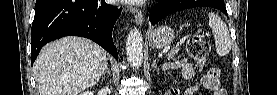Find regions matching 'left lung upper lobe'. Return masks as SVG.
<instances>
[{"label":"left lung upper lobe","instance_id":"left-lung-upper-lobe-1","mask_svg":"<svg viewBox=\"0 0 277 95\" xmlns=\"http://www.w3.org/2000/svg\"><path fill=\"white\" fill-rule=\"evenodd\" d=\"M216 7V6H224V0H202L201 3L192 4L190 8L193 7Z\"/></svg>","mask_w":277,"mask_h":95}]
</instances>
